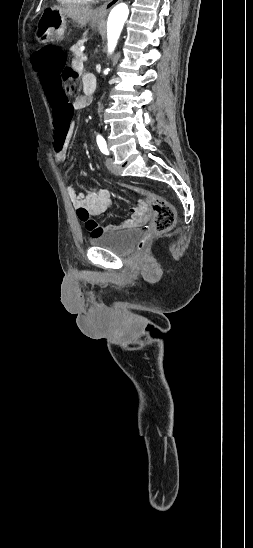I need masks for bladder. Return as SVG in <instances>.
Returning a JSON list of instances; mask_svg holds the SVG:
<instances>
[{"instance_id": "obj_1", "label": "bladder", "mask_w": 253, "mask_h": 548, "mask_svg": "<svg viewBox=\"0 0 253 548\" xmlns=\"http://www.w3.org/2000/svg\"><path fill=\"white\" fill-rule=\"evenodd\" d=\"M142 231L132 228L121 231H110L90 238V244L106 248L116 254H126L140 238Z\"/></svg>"}]
</instances>
